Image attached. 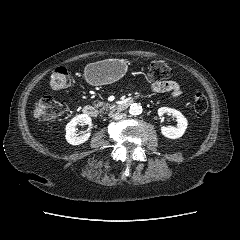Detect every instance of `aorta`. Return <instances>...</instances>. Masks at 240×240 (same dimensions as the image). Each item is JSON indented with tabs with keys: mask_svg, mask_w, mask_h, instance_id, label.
Instances as JSON below:
<instances>
[{
	"mask_svg": "<svg viewBox=\"0 0 240 240\" xmlns=\"http://www.w3.org/2000/svg\"><path fill=\"white\" fill-rule=\"evenodd\" d=\"M129 113L131 115H139L142 113V106L140 104L134 103L131 104L130 109H129Z\"/></svg>",
	"mask_w": 240,
	"mask_h": 240,
	"instance_id": "obj_1",
	"label": "aorta"
}]
</instances>
